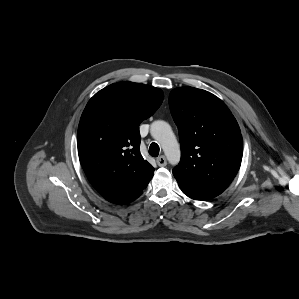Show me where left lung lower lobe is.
Masks as SVG:
<instances>
[{"mask_svg":"<svg viewBox=\"0 0 299 299\" xmlns=\"http://www.w3.org/2000/svg\"><path fill=\"white\" fill-rule=\"evenodd\" d=\"M184 194H186L188 197L192 198V199H195V200H205L201 197H198V196H195V195H192V194H189V193H186L183 191Z\"/></svg>","mask_w":299,"mask_h":299,"instance_id":"1","label":"left lung lower lobe"}]
</instances>
